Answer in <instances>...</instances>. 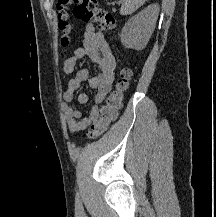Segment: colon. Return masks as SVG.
<instances>
[{"label": "colon", "instance_id": "5ec220e1", "mask_svg": "<svg viewBox=\"0 0 216 217\" xmlns=\"http://www.w3.org/2000/svg\"><path fill=\"white\" fill-rule=\"evenodd\" d=\"M57 10L59 29L62 32L61 44L64 48L69 47L72 41L71 16L86 22H94L101 31H113L116 27L113 15L99 8L97 0H57ZM130 78V69L120 70L114 90L102 105L99 117L91 125L88 132L89 138L102 135L107 131L109 125L116 120Z\"/></svg>", "mask_w": 216, "mask_h": 217}]
</instances>
